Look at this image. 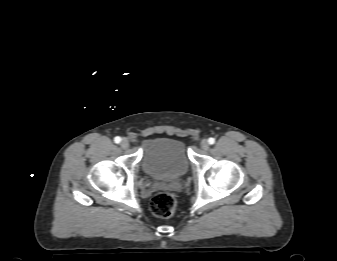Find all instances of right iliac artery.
<instances>
[{
  "label": "right iliac artery",
  "instance_id": "82829eb1",
  "mask_svg": "<svg viewBox=\"0 0 337 261\" xmlns=\"http://www.w3.org/2000/svg\"><path fill=\"white\" fill-rule=\"evenodd\" d=\"M114 142L117 143V144L120 143L121 142V138L119 136L115 137L114 138Z\"/></svg>",
  "mask_w": 337,
  "mask_h": 261
}]
</instances>
